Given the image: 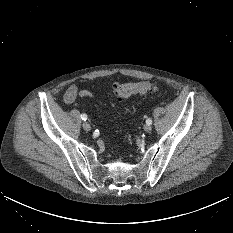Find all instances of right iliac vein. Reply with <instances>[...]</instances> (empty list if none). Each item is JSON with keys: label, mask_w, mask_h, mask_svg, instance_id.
Listing matches in <instances>:
<instances>
[{"label": "right iliac vein", "mask_w": 233, "mask_h": 233, "mask_svg": "<svg viewBox=\"0 0 233 233\" xmlns=\"http://www.w3.org/2000/svg\"><path fill=\"white\" fill-rule=\"evenodd\" d=\"M83 129H84L85 131H90V129H91L90 124H89L88 122H84V123H83Z\"/></svg>", "instance_id": "1"}]
</instances>
